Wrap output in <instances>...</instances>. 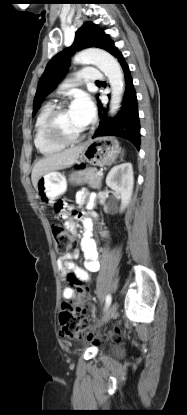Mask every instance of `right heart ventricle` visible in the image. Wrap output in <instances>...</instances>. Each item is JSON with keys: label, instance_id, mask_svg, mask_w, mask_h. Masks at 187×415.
<instances>
[{"label": "right heart ventricle", "instance_id": "e07e8e85", "mask_svg": "<svg viewBox=\"0 0 187 415\" xmlns=\"http://www.w3.org/2000/svg\"><path fill=\"white\" fill-rule=\"evenodd\" d=\"M52 109V103L44 104L41 107L35 121L34 144L38 151L43 155H52L60 152L64 148V145H60L50 141L45 134V121Z\"/></svg>", "mask_w": 187, "mask_h": 415}]
</instances>
